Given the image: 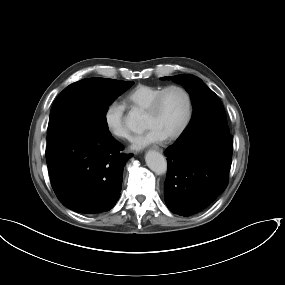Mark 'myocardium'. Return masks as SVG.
<instances>
[{
  "instance_id": "obj_1",
  "label": "myocardium",
  "mask_w": 285,
  "mask_h": 285,
  "mask_svg": "<svg viewBox=\"0 0 285 285\" xmlns=\"http://www.w3.org/2000/svg\"><path fill=\"white\" fill-rule=\"evenodd\" d=\"M172 89H177L184 94L185 99H186V113H185L184 119H183L181 125L178 127V129L174 133L164 137V139H167V140H173V139H177L178 137H180L184 133V131L186 130V128L190 122V119L192 116L193 104H192V97H191L189 91L184 86H181L178 84L168 85V86L162 88L156 94V96L153 98V100L150 102V104L146 108V112L155 113L160 107L163 96L169 90H172Z\"/></svg>"
}]
</instances>
